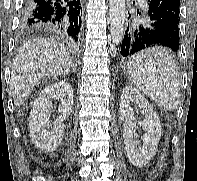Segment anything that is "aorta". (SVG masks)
<instances>
[{"mask_svg": "<svg viewBox=\"0 0 197 181\" xmlns=\"http://www.w3.org/2000/svg\"><path fill=\"white\" fill-rule=\"evenodd\" d=\"M110 33L112 43L119 45L125 29V0H109Z\"/></svg>", "mask_w": 197, "mask_h": 181, "instance_id": "obj_1", "label": "aorta"}]
</instances>
